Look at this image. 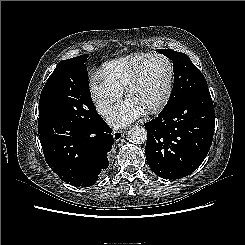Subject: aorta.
<instances>
[{"instance_id":"1","label":"aorta","mask_w":245,"mask_h":245,"mask_svg":"<svg viewBox=\"0 0 245 245\" xmlns=\"http://www.w3.org/2000/svg\"><path fill=\"white\" fill-rule=\"evenodd\" d=\"M128 139L133 144H142L147 139L146 129L142 126L136 125L129 129Z\"/></svg>"}]
</instances>
